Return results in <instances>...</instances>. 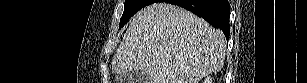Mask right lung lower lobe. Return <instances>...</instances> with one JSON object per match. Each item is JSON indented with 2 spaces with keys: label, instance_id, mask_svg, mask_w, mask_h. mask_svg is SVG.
Instances as JSON below:
<instances>
[{
  "label": "right lung lower lobe",
  "instance_id": "obj_1",
  "mask_svg": "<svg viewBox=\"0 0 307 83\" xmlns=\"http://www.w3.org/2000/svg\"><path fill=\"white\" fill-rule=\"evenodd\" d=\"M157 2H168L185 8L205 19L214 28L221 29L226 38H229L230 7L228 0H154L153 3Z\"/></svg>",
  "mask_w": 307,
  "mask_h": 83
}]
</instances>
